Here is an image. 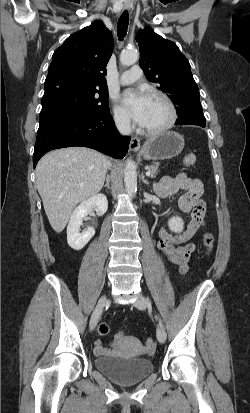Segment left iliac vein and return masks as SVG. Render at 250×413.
<instances>
[{
  "label": "left iliac vein",
  "mask_w": 250,
  "mask_h": 413,
  "mask_svg": "<svg viewBox=\"0 0 250 413\" xmlns=\"http://www.w3.org/2000/svg\"><path fill=\"white\" fill-rule=\"evenodd\" d=\"M134 305L138 309H145L148 306V301L142 295H139L137 300L134 302ZM157 339L160 343H164L166 341V331L162 325H158L157 327Z\"/></svg>",
  "instance_id": "4c4485c4"
}]
</instances>
